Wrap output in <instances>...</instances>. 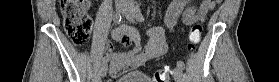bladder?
Instances as JSON below:
<instances>
[{
	"label": "bladder",
	"mask_w": 279,
	"mask_h": 82,
	"mask_svg": "<svg viewBox=\"0 0 279 82\" xmlns=\"http://www.w3.org/2000/svg\"><path fill=\"white\" fill-rule=\"evenodd\" d=\"M115 82H153L148 75L140 72H130L118 77Z\"/></svg>",
	"instance_id": "1"
}]
</instances>
